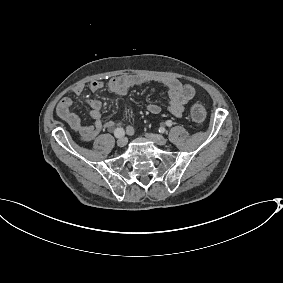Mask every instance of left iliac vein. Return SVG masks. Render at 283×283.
I'll use <instances>...</instances> for the list:
<instances>
[{"instance_id":"left-iliac-vein-1","label":"left iliac vein","mask_w":283,"mask_h":283,"mask_svg":"<svg viewBox=\"0 0 283 283\" xmlns=\"http://www.w3.org/2000/svg\"><path fill=\"white\" fill-rule=\"evenodd\" d=\"M146 137L158 145H165L167 142V140L162 135L158 134H147Z\"/></svg>"}]
</instances>
